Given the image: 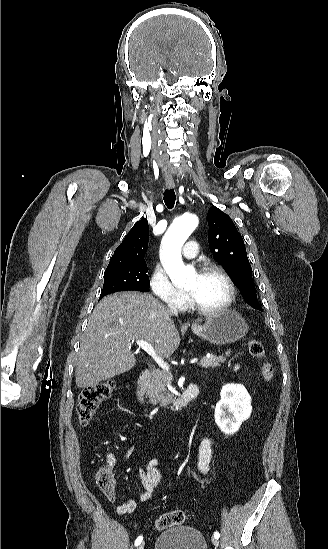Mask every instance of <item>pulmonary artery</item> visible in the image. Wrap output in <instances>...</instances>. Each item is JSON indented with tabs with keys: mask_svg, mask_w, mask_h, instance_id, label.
<instances>
[{
	"mask_svg": "<svg viewBox=\"0 0 328 549\" xmlns=\"http://www.w3.org/2000/svg\"><path fill=\"white\" fill-rule=\"evenodd\" d=\"M198 242L197 241H187L186 247L183 248L182 253L186 259H192L198 253Z\"/></svg>",
	"mask_w": 328,
	"mask_h": 549,
	"instance_id": "obj_1",
	"label": "pulmonary artery"
}]
</instances>
